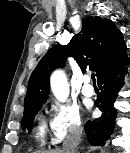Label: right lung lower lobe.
<instances>
[{
  "label": "right lung lower lobe",
  "mask_w": 130,
  "mask_h": 153,
  "mask_svg": "<svg viewBox=\"0 0 130 153\" xmlns=\"http://www.w3.org/2000/svg\"><path fill=\"white\" fill-rule=\"evenodd\" d=\"M129 64L130 60L125 56L97 78L101 92L97 96L95 105L102 111V116L93 121H87L85 124V132L91 145H103L113 132L116 118V110L113 104L123 85L124 68ZM118 74H120V77H117Z\"/></svg>",
  "instance_id": "right-lung-lower-lobe-1"
}]
</instances>
